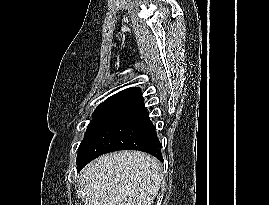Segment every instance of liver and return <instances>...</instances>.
<instances>
[{
	"instance_id": "obj_1",
	"label": "liver",
	"mask_w": 269,
	"mask_h": 205,
	"mask_svg": "<svg viewBox=\"0 0 269 205\" xmlns=\"http://www.w3.org/2000/svg\"><path fill=\"white\" fill-rule=\"evenodd\" d=\"M159 161L139 151L102 155L80 173L85 205H151L160 189Z\"/></svg>"
}]
</instances>
